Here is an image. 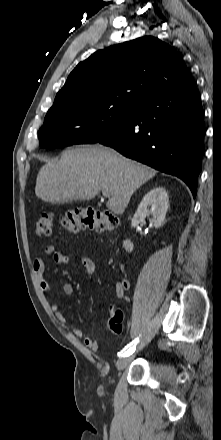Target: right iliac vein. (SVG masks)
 <instances>
[{"label": "right iliac vein", "instance_id": "right-iliac-vein-1", "mask_svg": "<svg viewBox=\"0 0 221 440\" xmlns=\"http://www.w3.org/2000/svg\"><path fill=\"white\" fill-rule=\"evenodd\" d=\"M133 359V357H126V358H121L117 361L116 363V367L119 370L124 369Z\"/></svg>", "mask_w": 221, "mask_h": 440}]
</instances>
